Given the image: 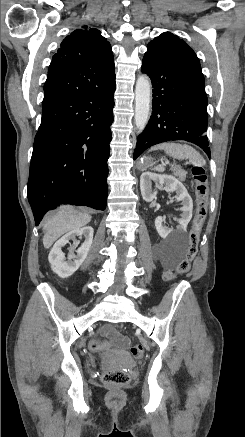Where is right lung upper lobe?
Wrapping results in <instances>:
<instances>
[{"label": "right lung upper lobe", "instance_id": "cb5924a9", "mask_svg": "<svg viewBox=\"0 0 245 437\" xmlns=\"http://www.w3.org/2000/svg\"><path fill=\"white\" fill-rule=\"evenodd\" d=\"M115 79L110 43L100 30L82 26L61 43L48 68L42 110L103 88Z\"/></svg>", "mask_w": 245, "mask_h": 437}]
</instances>
